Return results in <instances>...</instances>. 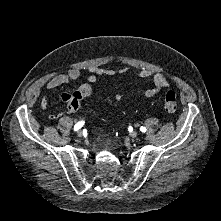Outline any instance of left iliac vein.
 Masks as SVG:
<instances>
[{
    "mask_svg": "<svg viewBox=\"0 0 221 221\" xmlns=\"http://www.w3.org/2000/svg\"><path fill=\"white\" fill-rule=\"evenodd\" d=\"M129 136L131 138H136L138 136V133L136 131H132V132H130Z\"/></svg>",
    "mask_w": 221,
    "mask_h": 221,
    "instance_id": "left-iliac-vein-1",
    "label": "left iliac vein"
}]
</instances>
